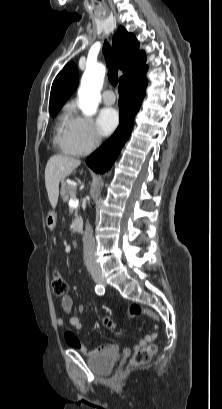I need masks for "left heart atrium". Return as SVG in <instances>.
Masks as SVG:
<instances>
[{"instance_id": "left-heart-atrium-1", "label": "left heart atrium", "mask_w": 222, "mask_h": 409, "mask_svg": "<svg viewBox=\"0 0 222 409\" xmlns=\"http://www.w3.org/2000/svg\"><path fill=\"white\" fill-rule=\"evenodd\" d=\"M119 115L116 109L112 107L103 108L97 117V126L100 133L104 136L111 134L117 127Z\"/></svg>"}]
</instances>
